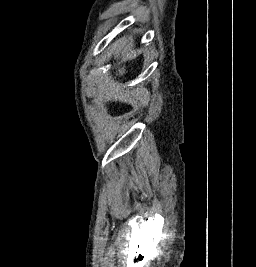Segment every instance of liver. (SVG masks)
I'll use <instances>...</instances> for the list:
<instances>
[{"mask_svg": "<svg viewBox=\"0 0 256 267\" xmlns=\"http://www.w3.org/2000/svg\"><path fill=\"white\" fill-rule=\"evenodd\" d=\"M122 54H123V52H122ZM117 72H119V74H116V76H123V74H125L124 68H121V70H117Z\"/></svg>", "mask_w": 256, "mask_h": 267, "instance_id": "6515ba94", "label": "liver"}]
</instances>
